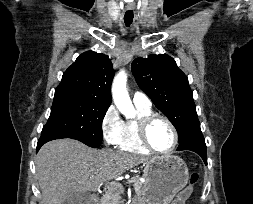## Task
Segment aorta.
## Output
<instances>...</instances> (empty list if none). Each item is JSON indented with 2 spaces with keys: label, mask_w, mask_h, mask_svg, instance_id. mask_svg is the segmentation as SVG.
<instances>
[{
  "label": "aorta",
  "mask_w": 253,
  "mask_h": 204,
  "mask_svg": "<svg viewBox=\"0 0 253 204\" xmlns=\"http://www.w3.org/2000/svg\"><path fill=\"white\" fill-rule=\"evenodd\" d=\"M127 75L121 70L114 78L112 84V96L117 109L126 117H135V108L126 89Z\"/></svg>",
  "instance_id": "1"
}]
</instances>
